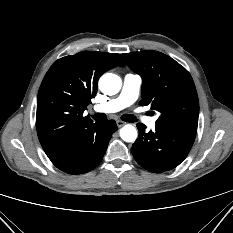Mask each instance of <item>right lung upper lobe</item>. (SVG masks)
Listing matches in <instances>:
<instances>
[{
	"instance_id": "obj_1",
	"label": "right lung upper lobe",
	"mask_w": 233,
	"mask_h": 233,
	"mask_svg": "<svg viewBox=\"0 0 233 233\" xmlns=\"http://www.w3.org/2000/svg\"><path fill=\"white\" fill-rule=\"evenodd\" d=\"M124 66L119 54L82 51L58 59L46 73L37 98L36 128L48 157L66 158L86 149L98 123L83 116L99 77Z\"/></svg>"
}]
</instances>
